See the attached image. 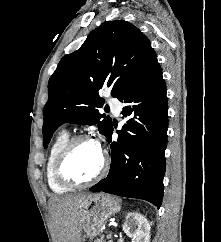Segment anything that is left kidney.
<instances>
[{"instance_id":"left-kidney-1","label":"left kidney","mask_w":221,"mask_h":242,"mask_svg":"<svg viewBox=\"0 0 221 242\" xmlns=\"http://www.w3.org/2000/svg\"><path fill=\"white\" fill-rule=\"evenodd\" d=\"M150 223L138 212L128 213L123 224L124 233L133 238L134 242H149L150 240Z\"/></svg>"}]
</instances>
